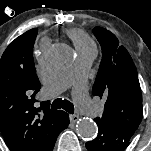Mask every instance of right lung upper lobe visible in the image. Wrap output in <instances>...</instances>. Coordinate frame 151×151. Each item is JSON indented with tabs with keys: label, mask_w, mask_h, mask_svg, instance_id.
Returning <instances> with one entry per match:
<instances>
[{
	"label": "right lung upper lobe",
	"mask_w": 151,
	"mask_h": 151,
	"mask_svg": "<svg viewBox=\"0 0 151 151\" xmlns=\"http://www.w3.org/2000/svg\"><path fill=\"white\" fill-rule=\"evenodd\" d=\"M37 32L16 38L1 58L20 61L21 70L13 76L0 67V131L11 151H52L58 136L60 110H51L49 101L35 105L40 89L32 55Z\"/></svg>",
	"instance_id": "cb5924a9"
}]
</instances>
